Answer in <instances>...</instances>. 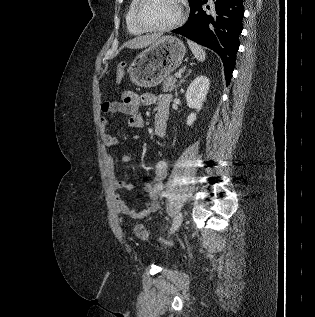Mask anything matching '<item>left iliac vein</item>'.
Wrapping results in <instances>:
<instances>
[{
  "instance_id": "4c4485c4",
  "label": "left iliac vein",
  "mask_w": 315,
  "mask_h": 317,
  "mask_svg": "<svg viewBox=\"0 0 315 317\" xmlns=\"http://www.w3.org/2000/svg\"><path fill=\"white\" fill-rule=\"evenodd\" d=\"M183 220V215L181 212H177L173 218L172 224L170 226L169 234L175 233L180 227Z\"/></svg>"
}]
</instances>
